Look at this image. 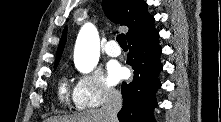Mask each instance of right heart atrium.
I'll list each match as a JSON object with an SVG mask.
<instances>
[{"mask_svg":"<svg viewBox=\"0 0 221 122\" xmlns=\"http://www.w3.org/2000/svg\"><path fill=\"white\" fill-rule=\"evenodd\" d=\"M118 97V91L105 81L99 70L81 75L72 92L74 105L78 109L98 107Z\"/></svg>","mask_w":221,"mask_h":122,"instance_id":"obj_1","label":"right heart atrium"}]
</instances>
